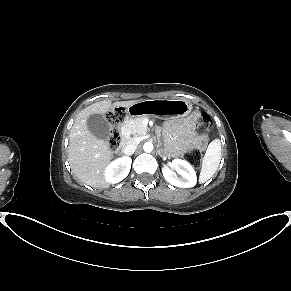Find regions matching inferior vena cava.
<instances>
[{"label":"inferior vena cava","instance_id":"602c4592","mask_svg":"<svg viewBox=\"0 0 291 291\" xmlns=\"http://www.w3.org/2000/svg\"><path fill=\"white\" fill-rule=\"evenodd\" d=\"M137 146H138V143L136 140H134V139L129 140L123 149L124 154L126 156H130V155L134 154Z\"/></svg>","mask_w":291,"mask_h":291}]
</instances>
